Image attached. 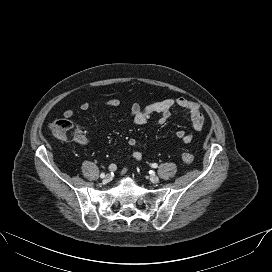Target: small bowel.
I'll return each instance as SVG.
<instances>
[{"label": "small bowel", "instance_id": "c3829d8e", "mask_svg": "<svg viewBox=\"0 0 272 272\" xmlns=\"http://www.w3.org/2000/svg\"><path fill=\"white\" fill-rule=\"evenodd\" d=\"M120 106V101L116 98H110L103 101H83L80 103L79 108L82 111H86L92 107H110V108H117ZM181 109L188 113L191 125L194 130L201 131L205 125V118L201 112V107L199 103L189 100L183 97L173 98V99H164L160 101L151 102L146 105H140L138 103H132L129 107L130 115L132 122L135 125H144L148 119L154 115L159 114L158 123L165 124L171 114L172 109ZM63 116L65 118H71L74 116V110L66 109L63 112ZM177 137L185 144H189L193 140V135L187 133L184 130H179L177 132ZM137 142L135 139H130L128 141V146L131 149V157L140 162L142 160V154L135 149ZM111 170L116 169V164L110 165ZM128 168H124L122 170V175L127 174Z\"/></svg>", "mask_w": 272, "mask_h": 272}]
</instances>
